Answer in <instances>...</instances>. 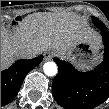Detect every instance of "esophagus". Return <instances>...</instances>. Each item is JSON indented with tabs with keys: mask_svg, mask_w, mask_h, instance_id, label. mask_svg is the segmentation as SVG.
<instances>
[{
	"mask_svg": "<svg viewBox=\"0 0 109 109\" xmlns=\"http://www.w3.org/2000/svg\"><path fill=\"white\" fill-rule=\"evenodd\" d=\"M53 52H51V51H47V52H45L44 53V60L45 61H49V60H51L52 58H53Z\"/></svg>",
	"mask_w": 109,
	"mask_h": 109,
	"instance_id": "1",
	"label": "esophagus"
}]
</instances>
